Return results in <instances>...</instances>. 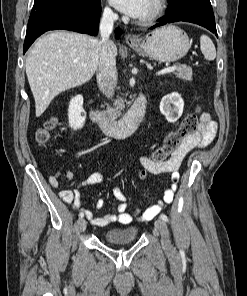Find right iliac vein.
Returning <instances> with one entry per match:
<instances>
[{
  "instance_id": "right-iliac-vein-1",
  "label": "right iliac vein",
  "mask_w": 247,
  "mask_h": 296,
  "mask_svg": "<svg viewBox=\"0 0 247 296\" xmlns=\"http://www.w3.org/2000/svg\"><path fill=\"white\" fill-rule=\"evenodd\" d=\"M78 225H79L80 231H84L86 229V225H87L85 219H80L78 221Z\"/></svg>"
}]
</instances>
